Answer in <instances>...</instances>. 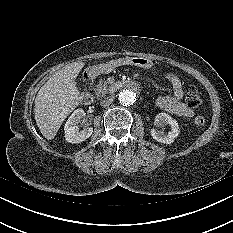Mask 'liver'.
I'll return each instance as SVG.
<instances>
[{"label": "liver", "instance_id": "1", "mask_svg": "<svg viewBox=\"0 0 233 233\" xmlns=\"http://www.w3.org/2000/svg\"><path fill=\"white\" fill-rule=\"evenodd\" d=\"M84 67L72 63L53 75L38 91L34 114L42 135L52 140L65 118L79 105L80 92L75 79Z\"/></svg>", "mask_w": 233, "mask_h": 233}]
</instances>
